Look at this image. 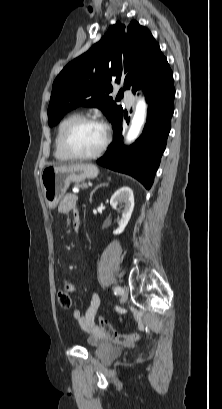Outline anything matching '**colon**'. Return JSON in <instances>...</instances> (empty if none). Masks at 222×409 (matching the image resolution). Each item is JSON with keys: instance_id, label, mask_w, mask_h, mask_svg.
I'll return each mask as SVG.
<instances>
[{"instance_id": "colon-1", "label": "colon", "mask_w": 222, "mask_h": 409, "mask_svg": "<svg viewBox=\"0 0 222 409\" xmlns=\"http://www.w3.org/2000/svg\"><path fill=\"white\" fill-rule=\"evenodd\" d=\"M70 292L71 288H67L65 290L59 291L57 294L58 303L60 307L63 309H69L71 307ZM99 323L102 329L107 333L110 341H112L113 343L131 344L140 340L141 338V335L139 333H131L127 335L119 334L103 317H99Z\"/></svg>"}]
</instances>
